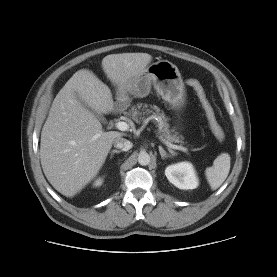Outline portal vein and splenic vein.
Segmentation results:
<instances>
[{"instance_id":"portal-vein-and-splenic-vein-1","label":"portal vein and splenic vein","mask_w":277,"mask_h":277,"mask_svg":"<svg viewBox=\"0 0 277 277\" xmlns=\"http://www.w3.org/2000/svg\"><path fill=\"white\" fill-rule=\"evenodd\" d=\"M116 127H117L118 130H121V131H128L129 130V124H127L126 122H123V121L117 122L116 123ZM159 139L164 144H166L168 147H170L172 149L180 150V151H183V152H187L186 148H184L182 146H179V145H175V144L169 143V142L165 141L161 136H159Z\"/></svg>"}]
</instances>
